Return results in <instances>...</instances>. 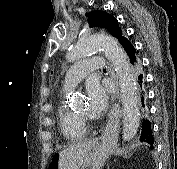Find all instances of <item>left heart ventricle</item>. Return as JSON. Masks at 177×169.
<instances>
[{
  "mask_svg": "<svg viewBox=\"0 0 177 169\" xmlns=\"http://www.w3.org/2000/svg\"><path fill=\"white\" fill-rule=\"evenodd\" d=\"M77 113H80V114H85L89 117H93L90 115L89 111H88V105L86 102H83L80 107L77 109Z\"/></svg>",
  "mask_w": 177,
  "mask_h": 169,
  "instance_id": "obj_1",
  "label": "left heart ventricle"
}]
</instances>
